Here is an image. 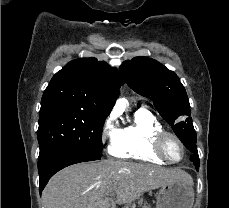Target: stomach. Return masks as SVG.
Segmentation results:
<instances>
[{
  "instance_id": "obj_1",
  "label": "stomach",
  "mask_w": 229,
  "mask_h": 208,
  "mask_svg": "<svg viewBox=\"0 0 229 208\" xmlns=\"http://www.w3.org/2000/svg\"><path fill=\"white\" fill-rule=\"evenodd\" d=\"M194 204V190L187 182H169L162 186L158 196L156 208H192Z\"/></svg>"
}]
</instances>
